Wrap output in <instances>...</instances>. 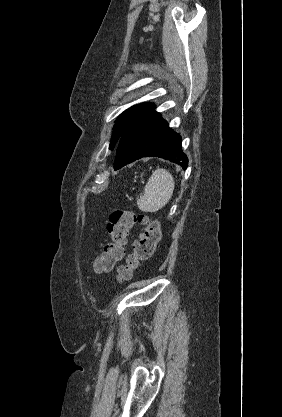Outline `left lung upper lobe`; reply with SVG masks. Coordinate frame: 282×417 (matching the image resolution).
I'll return each instance as SVG.
<instances>
[{
	"label": "left lung upper lobe",
	"mask_w": 282,
	"mask_h": 417,
	"mask_svg": "<svg viewBox=\"0 0 282 417\" xmlns=\"http://www.w3.org/2000/svg\"><path fill=\"white\" fill-rule=\"evenodd\" d=\"M138 105H136V106H133V107H131L130 109H128V110H126L125 112H123L120 116H119V118L116 120V124H115V126H114V132H113V136H112V139H111V143H110V147H109V149L110 150H113V149H115L116 148V146H117V144H118V141H119V139H120V136H121V133H122V129H123V126H124V123L126 122V120H127V118L129 117V115L132 113V111L137 107Z\"/></svg>",
	"instance_id": "5c2ea615"
}]
</instances>
